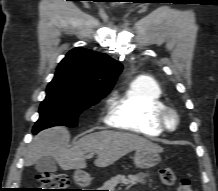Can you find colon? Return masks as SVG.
<instances>
[{"instance_id": "colon-1", "label": "colon", "mask_w": 218, "mask_h": 191, "mask_svg": "<svg viewBox=\"0 0 218 191\" xmlns=\"http://www.w3.org/2000/svg\"><path fill=\"white\" fill-rule=\"evenodd\" d=\"M159 177L164 185L176 186L177 191H193L190 181L186 178L178 179L171 167H163ZM39 188L32 191H67L69 179L65 174L41 173L38 175Z\"/></svg>"}]
</instances>
